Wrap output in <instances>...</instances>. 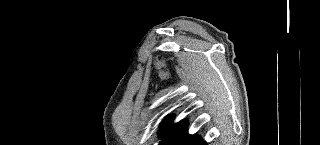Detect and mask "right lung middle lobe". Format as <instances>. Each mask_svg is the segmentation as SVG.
Masks as SVG:
<instances>
[{"mask_svg":"<svg viewBox=\"0 0 320 145\" xmlns=\"http://www.w3.org/2000/svg\"><path fill=\"white\" fill-rule=\"evenodd\" d=\"M172 139H173V136H165L164 138H162V141L160 142L159 145H168Z\"/></svg>","mask_w":320,"mask_h":145,"instance_id":"1","label":"right lung middle lobe"}]
</instances>
